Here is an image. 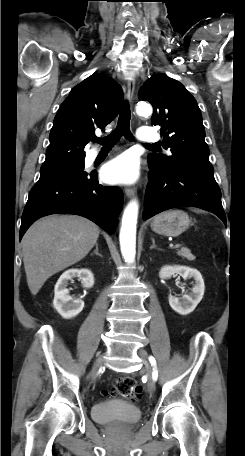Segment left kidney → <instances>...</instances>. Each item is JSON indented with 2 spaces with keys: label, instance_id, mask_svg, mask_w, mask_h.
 <instances>
[{
  "label": "left kidney",
  "instance_id": "1",
  "mask_svg": "<svg viewBox=\"0 0 245 456\" xmlns=\"http://www.w3.org/2000/svg\"><path fill=\"white\" fill-rule=\"evenodd\" d=\"M174 274H179L184 279L193 278L195 280V285L189 295H184L181 300L172 295L168 297L169 304L174 311L180 315H187L193 312L202 300L205 290L204 281L199 271L186 266H164L159 272L161 279H169Z\"/></svg>",
  "mask_w": 245,
  "mask_h": 456
}]
</instances>
